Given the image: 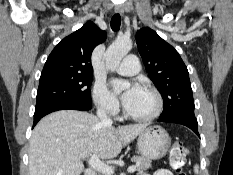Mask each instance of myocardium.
<instances>
[{
    "label": "myocardium",
    "instance_id": "myocardium-1",
    "mask_svg": "<svg viewBox=\"0 0 233 175\" xmlns=\"http://www.w3.org/2000/svg\"><path fill=\"white\" fill-rule=\"evenodd\" d=\"M142 89L152 94L156 102L155 108L147 115H133L127 110L126 106H124L123 113L124 116L130 120L136 122H149L160 116L163 111L164 101L161 93L155 87L151 85H144Z\"/></svg>",
    "mask_w": 233,
    "mask_h": 175
}]
</instances>
